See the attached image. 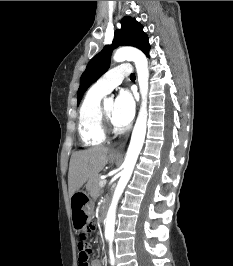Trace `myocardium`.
Segmentation results:
<instances>
[{
    "mask_svg": "<svg viewBox=\"0 0 233 266\" xmlns=\"http://www.w3.org/2000/svg\"><path fill=\"white\" fill-rule=\"evenodd\" d=\"M104 103L105 102H102L100 105L99 114H100L101 128H102L104 134L106 135V134L112 132L114 130V128H113L112 119L106 113Z\"/></svg>",
    "mask_w": 233,
    "mask_h": 266,
    "instance_id": "f54148a6",
    "label": "myocardium"
}]
</instances>
